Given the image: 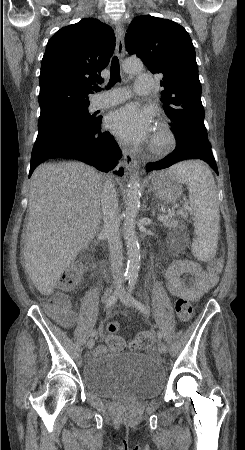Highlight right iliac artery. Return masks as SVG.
<instances>
[{
	"instance_id": "obj_1",
	"label": "right iliac artery",
	"mask_w": 245,
	"mask_h": 450,
	"mask_svg": "<svg viewBox=\"0 0 245 450\" xmlns=\"http://www.w3.org/2000/svg\"><path fill=\"white\" fill-rule=\"evenodd\" d=\"M127 279H129V277L124 276L122 283H124V281H126ZM121 287L122 284L119 285V287L112 293V295L109 297L107 303H106V309H108L109 307H111L112 305H114V303L117 301L119 293L121 291ZM96 335V330H94L91 334V336H95Z\"/></svg>"
}]
</instances>
